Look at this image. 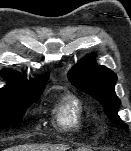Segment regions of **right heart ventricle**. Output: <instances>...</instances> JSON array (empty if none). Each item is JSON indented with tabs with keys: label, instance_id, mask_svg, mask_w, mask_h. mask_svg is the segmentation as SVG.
I'll return each mask as SVG.
<instances>
[{
	"label": "right heart ventricle",
	"instance_id": "right-heart-ventricle-1",
	"mask_svg": "<svg viewBox=\"0 0 131 151\" xmlns=\"http://www.w3.org/2000/svg\"><path fill=\"white\" fill-rule=\"evenodd\" d=\"M86 120V112L79 99L75 97L65 98L57 110L56 121L66 130H78L84 126Z\"/></svg>",
	"mask_w": 131,
	"mask_h": 151
}]
</instances>
